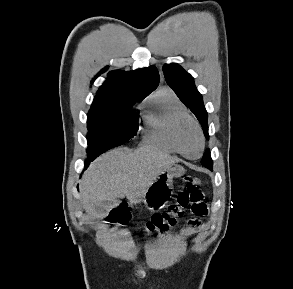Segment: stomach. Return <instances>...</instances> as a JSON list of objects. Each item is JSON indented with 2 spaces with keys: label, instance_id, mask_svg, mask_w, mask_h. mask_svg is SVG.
<instances>
[{
  "label": "stomach",
  "instance_id": "obj_1",
  "mask_svg": "<svg viewBox=\"0 0 293 289\" xmlns=\"http://www.w3.org/2000/svg\"><path fill=\"white\" fill-rule=\"evenodd\" d=\"M185 170L180 165H170L149 186L140 199L151 211L164 208L173 194V179L183 176Z\"/></svg>",
  "mask_w": 293,
  "mask_h": 289
}]
</instances>
